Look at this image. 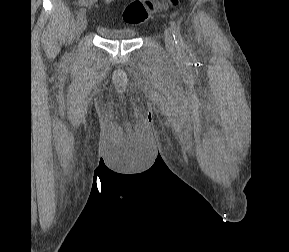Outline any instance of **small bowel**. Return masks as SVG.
I'll use <instances>...</instances> for the list:
<instances>
[{
    "label": "small bowel",
    "instance_id": "obj_1",
    "mask_svg": "<svg viewBox=\"0 0 289 252\" xmlns=\"http://www.w3.org/2000/svg\"><path fill=\"white\" fill-rule=\"evenodd\" d=\"M115 0H77V5L82 8H88L101 2L104 5H109Z\"/></svg>",
    "mask_w": 289,
    "mask_h": 252
}]
</instances>
